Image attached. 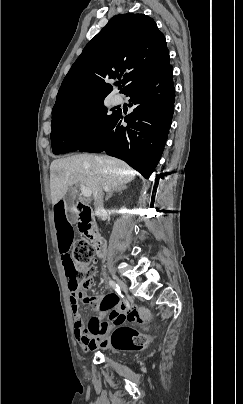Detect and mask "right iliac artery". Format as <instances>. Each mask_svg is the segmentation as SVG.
<instances>
[{"instance_id": "1", "label": "right iliac artery", "mask_w": 243, "mask_h": 404, "mask_svg": "<svg viewBox=\"0 0 243 404\" xmlns=\"http://www.w3.org/2000/svg\"><path fill=\"white\" fill-rule=\"evenodd\" d=\"M109 284L119 295L121 294L120 287L118 286V284H116L112 280L109 281Z\"/></svg>"}]
</instances>
